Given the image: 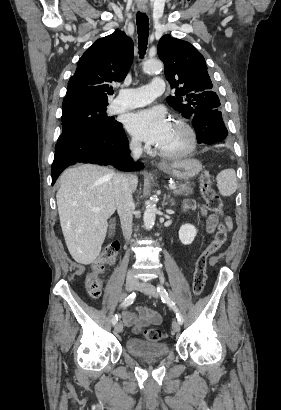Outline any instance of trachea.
<instances>
[{
	"instance_id": "trachea-1",
	"label": "trachea",
	"mask_w": 281,
	"mask_h": 410,
	"mask_svg": "<svg viewBox=\"0 0 281 410\" xmlns=\"http://www.w3.org/2000/svg\"><path fill=\"white\" fill-rule=\"evenodd\" d=\"M137 33H138V44H139V54L140 58L146 53L147 42L149 36V20L145 13H137L136 16Z\"/></svg>"
}]
</instances>
